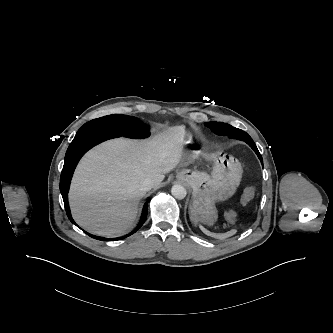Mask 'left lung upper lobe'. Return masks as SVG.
I'll return each mask as SVG.
<instances>
[{
  "instance_id": "5c2ea615",
  "label": "left lung upper lobe",
  "mask_w": 333,
  "mask_h": 333,
  "mask_svg": "<svg viewBox=\"0 0 333 333\" xmlns=\"http://www.w3.org/2000/svg\"><path fill=\"white\" fill-rule=\"evenodd\" d=\"M205 125L217 135L228 136L230 138L243 140L245 142L246 139H251V137L246 132L226 123L207 122L205 123ZM260 161L263 164L262 158L260 159Z\"/></svg>"
}]
</instances>
